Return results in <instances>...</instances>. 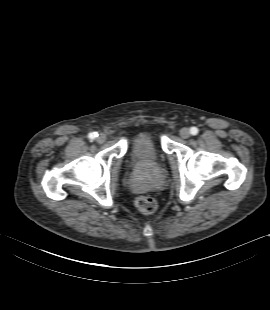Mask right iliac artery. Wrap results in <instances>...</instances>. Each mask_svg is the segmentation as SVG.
I'll return each mask as SVG.
<instances>
[{
	"label": "right iliac artery",
	"mask_w": 270,
	"mask_h": 310,
	"mask_svg": "<svg viewBox=\"0 0 270 310\" xmlns=\"http://www.w3.org/2000/svg\"><path fill=\"white\" fill-rule=\"evenodd\" d=\"M97 136H98V134L96 132L89 133V138L92 140L95 139V137H97Z\"/></svg>",
	"instance_id": "right-iliac-artery-1"
}]
</instances>
